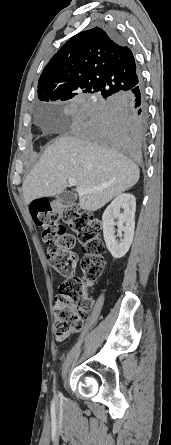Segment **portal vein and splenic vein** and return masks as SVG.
Returning a JSON list of instances; mask_svg holds the SVG:
<instances>
[{"mask_svg":"<svg viewBox=\"0 0 171 445\" xmlns=\"http://www.w3.org/2000/svg\"><path fill=\"white\" fill-rule=\"evenodd\" d=\"M68 183H69L70 186H76L77 185V182H76V180L74 178H69L68 179ZM99 190H101V188H94V189H89V190H86V189H83V188H77V192H78L79 196H83L86 193L97 192Z\"/></svg>","mask_w":171,"mask_h":445,"instance_id":"18ae733b","label":"portal vein and splenic vein"}]
</instances>
